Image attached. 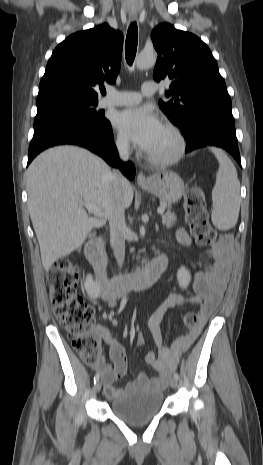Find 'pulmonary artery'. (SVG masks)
I'll use <instances>...</instances> for the list:
<instances>
[{
	"mask_svg": "<svg viewBox=\"0 0 263 465\" xmlns=\"http://www.w3.org/2000/svg\"><path fill=\"white\" fill-rule=\"evenodd\" d=\"M157 91L154 82L147 81L142 84L141 92L109 90V94L101 100L102 107L128 106L139 103L144 96H151Z\"/></svg>",
	"mask_w": 263,
	"mask_h": 465,
	"instance_id": "1",
	"label": "pulmonary artery"
}]
</instances>
